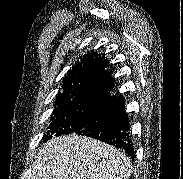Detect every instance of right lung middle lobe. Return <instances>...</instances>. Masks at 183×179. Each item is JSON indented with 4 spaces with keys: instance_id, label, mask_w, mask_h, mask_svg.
Instances as JSON below:
<instances>
[{
    "instance_id": "dd1d6c3e",
    "label": "right lung middle lobe",
    "mask_w": 183,
    "mask_h": 179,
    "mask_svg": "<svg viewBox=\"0 0 183 179\" xmlns=\"http://www.w3.org/2000/svg\"><path fill=\"white\" fill-rule=\"evenodd\" d=\"M106 106L107 99L104 96H89L57 104L43 141H48L53 136L80 132L95 122Z\"/></svg>"
}]
</instances>
